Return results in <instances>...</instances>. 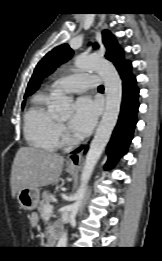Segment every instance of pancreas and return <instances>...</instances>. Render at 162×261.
Segmentation results:
<instances>
[{"instance_id": "obj_1", "label": "pancreas", "mask_w": 162, "mask_h": 261, "mask_svg": "<svg viewBox=\"0 0 162 261\" xmlns=\"http://www.w3.org/2000/svg\"><path fill=\"white\" fill-rule=\"evenodd\" d=\"M52 199H53V196L51 195L50 192L44 191L42 193V200L39 202V205H38V211H39V213L42 217L44 215V206L46 204H50ZM48 233H49L50 236L54 235V230H53V227L51 225L48 226Z\"/></svg>"}]
</instances>
